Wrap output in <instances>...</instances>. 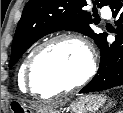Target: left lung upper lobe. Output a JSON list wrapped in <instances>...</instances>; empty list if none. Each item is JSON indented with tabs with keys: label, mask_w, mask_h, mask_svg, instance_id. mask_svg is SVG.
<instances>
[{
	"label": "left lung upper lobe",
	"mask_w": 123,
	"mask_h": 113,
	"mask_svg": "<svg viewBox=\"0 0 123 113\" xmlns=\"http://www.w3.org/2000/svg\"><path fill=\"white\" fill-rule=\"evenodd\" d=\"M110 1L93 0V4L101 8ZM85 6L86 0H29L17 25L9 67L14 66L33 43L55 31L80 32L93 38L99 46L107 34H97L92 30L94 14L87 11Z\"/></svg>",
	"instance_id": "left-lung-upper-lobe-1"
}]
</instances>
